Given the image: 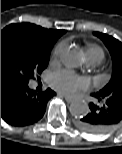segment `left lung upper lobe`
<instances>
[{
	"instance_id": "left-lung-upper-lobe-1",
	"label": "left lung upper lobe",
	"mask_w": 122,
	"mask_h": 154,
	"mask_svg": "<svg viewBox=\"0 0 122 154\" xmlns=\"http://www.w3.org/2000/svg\"><path fill=\"white\" fill-rule=\"evenodd\" d=\"M109 49L113 60V72L109 83L99 92L122 99V43L112 36L94 32Z\"/></svg>"
}]
</instances>
